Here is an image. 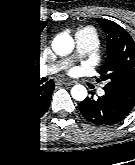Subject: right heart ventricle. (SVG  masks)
<instances>
[{"label":"right heart ventricle","mask_w":135,"mask_h":165,"mask_svg":"<svg viewBox=\"0 0 135 165\" xmlns=\"http://www.w3.org/2000/svg\"><path fill=\"white\" fill-rule=\"evenodd\" d=\"M76 35L77 36L78 35L88 36L91 39L92 44L93 45L96 44V35L90 29H87V28L86 29H81L76 33Z\"/></svg>","instance_id":"obj_1"}]
</instances>
